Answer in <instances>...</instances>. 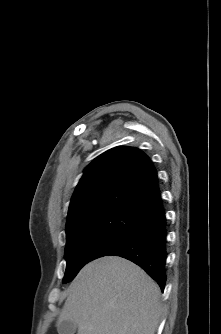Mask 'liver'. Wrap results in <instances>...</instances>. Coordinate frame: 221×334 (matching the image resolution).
Masks as SVG:
<instances>
[{"mask_svg":"<svg viewBox=\"0 0 221 334\" xmlns=\"http://www.w3.org/2000/svg\"><path fill=\"white\" fill-rule=\"evenodd\" d=\"M160 294L139 266L105 256L85 265L71 283L57 326L72 321L77 334H155Z\"/></svg>","mask_w":221,"mask_h":334,"instance_id":"liver-1","label":"liver"}]
</instances>
